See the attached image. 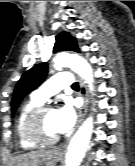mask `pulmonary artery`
I'll return each mask as SVG.
<instances>
[{
  "label": "pulmonary artery",
  "instance_id": "pulmonary-artery-1",
  "mask_svg": "<svg viewBox=\"0 0 135 166\" xmlns=\"http://www.w3.org/2000/svg\"><path fill=\"white\" fill-rule=\"evenodd\" d=\"M72 85L73 78L71 73L69 71H59L35 90L33 97L44 102L61 89L71 87Z\"/></svg>",
  "mask_w": 135,
  "mask_h": 166
}]
</instances>
